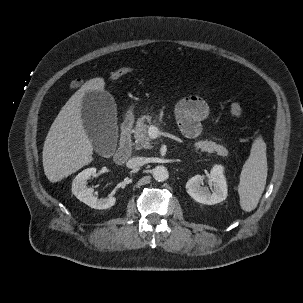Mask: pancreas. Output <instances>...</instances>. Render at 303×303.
Wrapping results in <instances>:
<instances>
[{
	"instance_id": "cf45deb5",
	"label": "pancreas",
	"mask_w": 303,
	"mask_h": 303,
	"mask_svg": "<svg viewBox=\"0 0 303 303\" xmlns=\"http://www.w3.org/2000/svg\"><path fill=\"white\" fill-rule=\"evenodd\" d=\"M155 123L150 115L141 116L137 122L136 127L134 129V138H135V148L136 149H149L152 147L151 140L148 137V128L149 125ZM194 147L196 150H200L201 152L217 153L220 156H227L228 150L219 144H216L211 140H200L194 143Z\"/></svg>"
}]
</instances>
